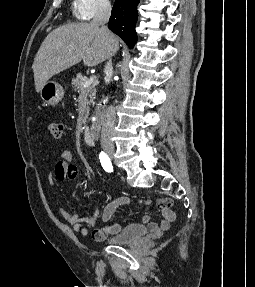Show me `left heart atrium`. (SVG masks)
Here are the masks:
<instances>
[{
  "label": "left heart atrium",
  "mask_w": 255,
  "mask_h": 287,
  "mask_svg": "<svg viewBox=\"0 0 255 287\" xmlns=\"http://www.w3.org/2000/svg\"><path fill=\"white\" fill-rule=\"evenodd\" d=\"M117 13V12H114ZM75 33H93V32H75ZM74 39H91V38H74ZM78 48H88V47H78Z\"/></svg>",
  "instance_id": "39dd6f15"
}]
</instances>
